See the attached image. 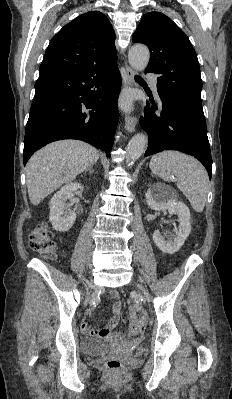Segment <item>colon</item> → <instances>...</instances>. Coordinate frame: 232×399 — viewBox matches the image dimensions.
Instances as JSON below:
<instances>
[{
  "label": "colon",
  "mask_w": 232,
  "mask_h": 399,
  "mask_svg": "<svg viewBox=\"0 0 232 399\" xmlns=\"http://www.w3.org/2000/svg\"><path fill=\"white\" fill-rule=\"evenodd\" d=\"M37 228L32 237L27 241V247L34 253H38L41 257L55 261L59 257V251L53 244L52 228L50 223L42 221L37 223ZM131 321L128 326L132 330H141V324H147L146 308H131ZM111 353H135L136 348L132 346L131 340H115L114 346L110 348ZM109 368V374H124L126 362L124 355H107L105 363Z\"/></svg>",
  "instance_id": "5ec220e1"
}]
</instances>
